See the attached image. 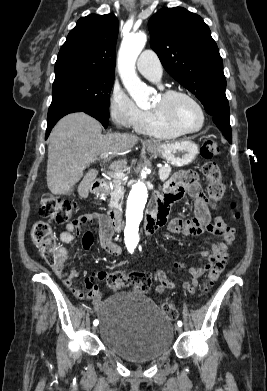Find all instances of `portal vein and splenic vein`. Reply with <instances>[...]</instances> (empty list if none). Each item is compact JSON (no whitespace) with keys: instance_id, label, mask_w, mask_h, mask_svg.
<instances>
[{"instance_id":"18ae733b","label":"portal vein and splenic vein","mask_w":267,"mask_h":391,"mask_svg":"<svg viewBox=\"0 0 267 391\" xmlns=\"http://www.w3.org/2000/svg\"><path fill=\"white\" fill-rule=\"evenodd\" d=\"M108 157V153H103L100 156V159H105ZM159 167V170L162 168V165H157ZM109 175L113 177L114 179H122L125 177V174L122 171H116V172H110Z\"/></svg>"}]
</instances>
